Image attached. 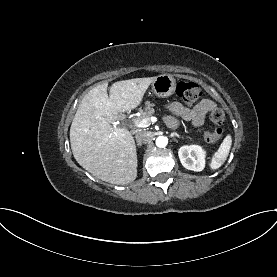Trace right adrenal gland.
Masks as SVG:
<instances>
[{
	"instance_id": "obj_1",
	"label": "right adrenal gland",
	"mask_w": 277,
	"mask_h": 277,
	"mask_svg": "<svg viewBox=\"0 0 277 277\" xmlns=\"http://www.w3.org/2000/svg\"><path fill=\"white\" fill-rule=\"evenodd\" d=\"M137 146L139 147V146H141V144L138 143Z\"/></svg>"
}]
</instances>
